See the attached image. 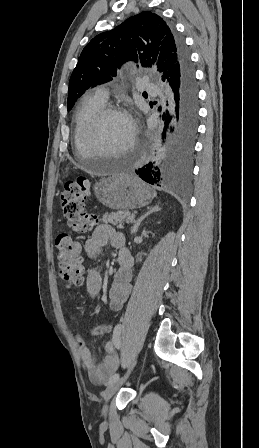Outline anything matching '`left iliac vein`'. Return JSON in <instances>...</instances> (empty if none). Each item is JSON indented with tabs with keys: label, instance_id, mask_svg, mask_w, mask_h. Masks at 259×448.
Segmentation results:
<instances>
[{
	"label": "left iliac vein",
	"instance_id": "1",
	"mask_svg": "<svg viewBox=\"0 0 259 448\" xmlns=\"http://www.w3.org/2000/svg\"><path fill=\"white\" fill-rule=\"evenodd\" d=\"M136 365V360H133L131 362V364L128 367V370L126 372V374L124 375V377L116 380L115 382L111 383L108 385V387L105 389L104 393H103V397L105 400V405L103 407V414L106 415L107 410H108V406H107V402L110 400V398L116 393V391L120 388V386L125 382V380L129 377V375L131 374L133 368Z\"/></svg>",
	"mask_w": 259,
	"mask_h": 448
}]
</instances>
